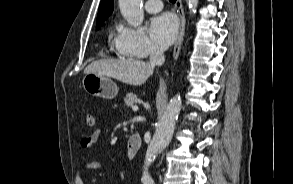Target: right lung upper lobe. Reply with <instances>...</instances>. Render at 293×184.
<instances>
[{"instance_id": "cb5924a9", "label": "right lung upper lobe", "mask_w": 293, "mask_h": 184, "mask_svg": "<svg viewBox=\"0 0 293 184\" xmlns=\"http://www.w3.org/2000/svg\"><path fill=\"white\" fill-rule=\"evenodd\" d=\"M113 7V0H101L97 16V26L102 25V23L108 18L113 12Z\"/></svg>"}]
</instances>
